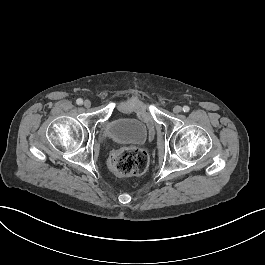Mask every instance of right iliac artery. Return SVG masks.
Returning a JSON list of instances; mask_svg holds the SVG:
<instances>
[{"label": "right iliac artery", "instance_id": "obj_1", "mask_svg": "<svg viewBox=\"0 0 265 265\" xmlns=\"http://www.w3.org/2000/svg\"><path fill=\"white\" fill-rule=\"evenodd\" d=\"M76 103H77L78 105H82L83 100H82L81 98H79V99L76 100Z\"/></svg>", "mask_w": 265, "mask_h": 265}]
</instances>
